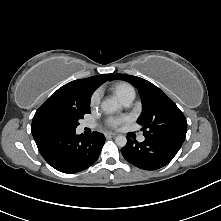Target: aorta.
Wrapping results in <instances>:
<instances>
[{"label": "aorta", "mask_w": 221, "mask_h": 221, "mask_svg": "<svg viewBox=\"0 0 221 221\" xmlns=\"http://www.w3.org/2000/svg\"><path fill=\"white\" fill-rule=\"evenodd\" d=\"M101 108L105 113L111 114L120 108V105L115 99H106L102 102ZM115 143L119 147H124L127 144V138L124 135H118L115 138Z\"/></svg>", "instance_id": "aorta-1"}]
</instances>
